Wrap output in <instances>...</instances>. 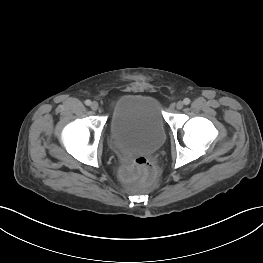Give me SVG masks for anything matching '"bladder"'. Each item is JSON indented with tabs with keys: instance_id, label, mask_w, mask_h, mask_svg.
I'll return each instance as SVG.
<instances>
[{
	"instance_id": "bladder-1",
	"label": "bladder",
	"mask_w": 263,
	"mask_h": 263,
	"mask_svg": "<svg viewBox=\"0 0 263 263\" xmlns=\"http://www.w3.org/2000/svg\"><path fill=\"white\" fill-rule=\"evenodd\" d=\"M108 133L115 147L125 154L136 156L157 152L166 139L159 102L141 94L121 96L113 106Z\"/></svg>"
}]
</instances>
